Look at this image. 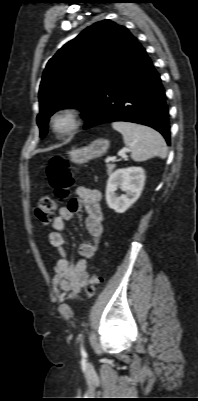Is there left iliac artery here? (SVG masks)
I'll list each match as a JSON object with an SVG mask.
<instances>
[{
    "instance_id": "44dca946",
    "label": "left iliac artery",
    "mask_w": 198,
    "mask_h": 401,
    "mask_svg": "<svg viewBox=\"0 0 198 401\" xmlns=\"http://www.w3.org/2000/svg\"><path fill=\"white\" fill-rule=\"evenodd\" d=\"M81 353H82V354H85V350H84V348H83V345H81Z\"/></svg>"
}]
</instances>
